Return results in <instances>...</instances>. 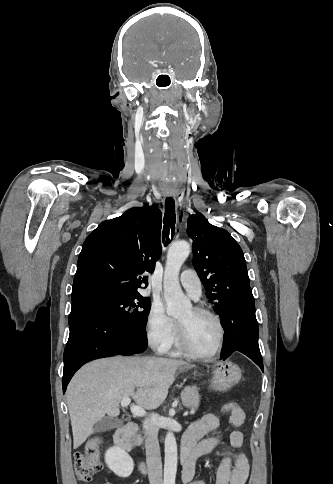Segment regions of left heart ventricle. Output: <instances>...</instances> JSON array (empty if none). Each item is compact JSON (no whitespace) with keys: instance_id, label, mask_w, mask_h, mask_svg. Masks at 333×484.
Returning a JSON list of instances; mask_svg holds the SVG:
<instances>
[{"instance_id":"1","label":"left heart ventricle","mask_w":333,"mask_h":484,"mask_svg":"<svg viewBox=\"0 0 333 484\" xmlns=\"http://www.w3.org/2000/svg\"><path fill=\"white\" fill-rule=\"evenodd\" d=\"M184 326L190 343L200 353H210L218 340V327L216 322L207 315L196 314L192 308L178 317Z\"/></svg>"}]
</instances>
